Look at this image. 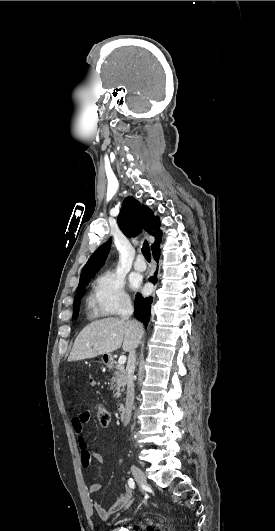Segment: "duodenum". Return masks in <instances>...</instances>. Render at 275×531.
<instances>
[{
  "label": "duodenum",
  "instance_id": "410a0bca",
  "mask_svg": "<svg viewBox=\"0 0 275 531\" xmlns=\"http://www.w3.org/2000/svg\"><path fill=\"white\" fill-rule=\"evenodd\" d=\"M105 362L108 365H112L113 364L112 357L111 356H106L105 357ZM118 413H119L120 418H124L126 416V405L124 403L119 404Z\"/></svg>",
  "mask_w": 275,
  "mask_h": 531
}]
</instances>
